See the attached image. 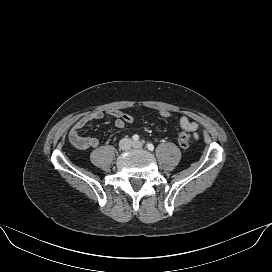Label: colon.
Here are the masks:
<instances>
[{"label":"colon","instance_id":"obj_1","mask_svg":"<svg viewBox=\"0 0 272 272\" xmlns=\"http://www.w3.org/2000/svg\"><path fill=\"white\" fill-rule=\"evenodd\" d=\"M159 116L163 119H168L171 117V113L167 110H161L159 112ZM122 119L126 124L133 123V121H134V117L130 114H127V113L122 114ZM190 138H191L190 132H188L186 130L181 131L178 135V138H177L179 146L183 149L188 148L189 144H190Z\"/></svg>","mask_w":272,"mask_h":272}]
</instances>
